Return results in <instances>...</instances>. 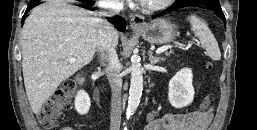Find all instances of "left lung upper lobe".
<instances>
[{
	"instance_id": "5c2ea615",
	"label": "left lung upper lobe",
	"mask_w": 257,
	"mask_h": 130,
	"mask_svg": "<svg viewBox=\"0 0 257 130\" xmlns=\"http://www.w3.org/2000/svg\"><path fill=\"white\" fill-rule=\"evenodd\" d=\"M193 1H196V0H176L174 4H191L193 3Z\"/></svg>"
}]
</instances>
